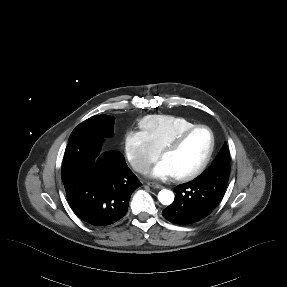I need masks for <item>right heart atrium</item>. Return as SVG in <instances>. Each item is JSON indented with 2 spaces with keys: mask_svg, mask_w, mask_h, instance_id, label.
Listing matches in <instances>:
<instances>
[{
  "mask_svg": "<svg viewBox=\"0 0 287 287\" xmlns=\"http://www.w3.org/2000/svg\"><path fill=\"white\" fill-rule=\"evenodd\" d=\"M123 145L128 162L140 173L145 172L159 156V152L143 132L128 131L124 136Z\"/></svg>",
  "mask_w": 287,
  "mask_h": 287,
  "instance_id": "right-heart-atrium-1",
  "label": "right heart atrium"
}]
</instances>
